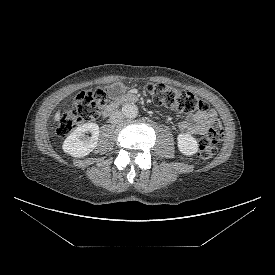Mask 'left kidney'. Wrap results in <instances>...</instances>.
<instances>
[{"instance_id":"obj_1","label":"left kidney","mask_w":275,"mask_h":275,"mask_svg":"<svg viewBox=\"0 0 275 275\" xmlns=\"http://www.w3.org/2000/svg\"><path fill=\"white\" fill-rule=\"evenodd\" d=\"M178 148L184 155H193L198 151V144L194 137L187 133H181L177 137Z\"/></svg>"}]
</instances>
